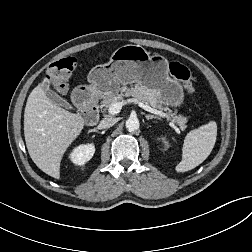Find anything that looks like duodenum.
Masks as SVG:
<instances>
[{
    "mask_svg": "<svg viewBox=\"0 0 252 252\" xmlns=\"http://www.w3.org/2000/svg\"><path fill=\"white\" fill-rule=\"evenodd\" d=\"M76 100H89L83 111L84 118L91 124L99 121V110L96 101L91 97V93L87 88L78 90L74 94Z\"/></svg>",
    "mask_w": 252,
    "mask_h": 252,
    "instance_id": "duodenum-1",
    "label": "duodenum"
}]
</instances>
